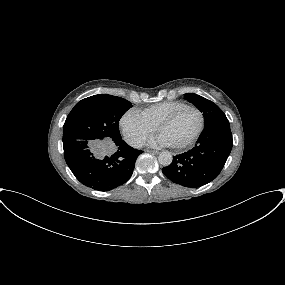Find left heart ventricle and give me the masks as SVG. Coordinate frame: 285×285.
Listing matches in <instances>:
<instances>
[{
  "instance_id": "1",
  "label": "left heart ventricle",
  "mask_w": 285,
  "mask_h": 285,
  "mask_svg": "<svg viewBox=\"0 0 285 285\" xmlns=\"http://www.w3.org/2000/svg\"><path fill=\"white\" fill-rule=\"evenodd\" d=\"M200 119L193 109L182 111L175 120L162 127L159 133L163 135L170 146H177L189 140L198 130Z\"/></svg>"
}]
</instances>
